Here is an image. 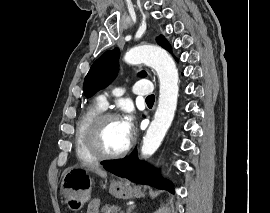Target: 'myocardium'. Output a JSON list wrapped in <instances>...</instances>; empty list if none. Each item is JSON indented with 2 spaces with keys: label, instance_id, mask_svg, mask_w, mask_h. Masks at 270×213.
<instances>
[{
  "label": "myocardium",
  "instance_id": "myocardium-1",
  "mask_svg": "<svg viewBox=\"0 0 270 213\" xmlns=\"http://www.w3.org/2000/svg\"><path fill=\"white\" fill-rule=\"evenodd\" d=\"M109 120H119V117L112 112H101L94 117L86 131V147L88 151L98 160L120 159L126 156L132 147V141L130 140L127 146L122 151L117 153L108 154L101 149L99 144L100 132L104 124Z\"/></svg>",
  "mask_w": 270,
  "mask_h": 213
}]
</instances>
